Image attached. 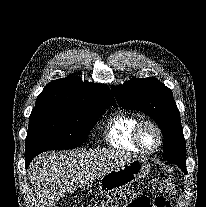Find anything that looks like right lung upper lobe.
I'll return each mask as SVG.
<instances>
[{
	"instance_id": "cb5924a9",
	"label": "right lung upper lobe",
	"mask_w": 206,
	"mask_h": 207,
	"mask_svg": "<svg viewBox=\"0 0 206 207\" xmlns=\"http://www.w3.org/2000/svg\"><path fill=\"white\" fill-rule=\"evenodd\" d=\"M58 103L82 107L116 106L106 84L82 81L78 76H68L51 81L37 97L36 104Z\"/></svg>"
}]
</instances>
